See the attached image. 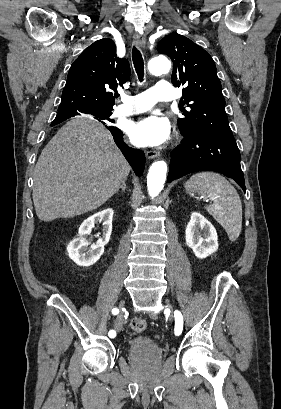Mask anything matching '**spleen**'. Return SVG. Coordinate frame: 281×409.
I'll use <instances>...</instances> for the list:
<instances>
[{
  "instance_id": "spleen-1",
  "label": "spleen",
  "mask_w": 281,
  "mask_h": 409,
  "mask_svg": "<svg viewBox=\"0 0 281 409\" xmlns=\"http://www.w3.org/2000/svg\"><path fill=\"white\" fill-rule=\"evenodd\" d=\"M186 188L190 194L198 192L213 200L206 211L222 225L229 241H237L242 229V205L236 188L227 178L218 172H197L187 180Z\"/></svg>"
}]
</instances>
